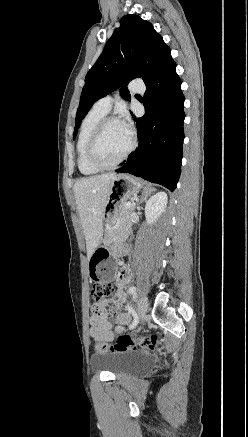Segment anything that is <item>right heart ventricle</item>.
Instances as JSON below:
<instances>
[{
    "label": "right heart ventricle",
    "instance_id": "right-heart-ventricle-1",
    "mask_svg": "<svg viewBox=\"0 0 248 437\" xmlns=\"http://www.w3.org/2000/svg\"><path fill=\"white\" fill-rule=\"evenodd\" d=\"M105 116L106 113L92 108L81 122L76 142V152L78 169L83 175H94L100 171L90 164L87 157V145L96 125Z\"/></svg>",
    "mask_w": 248,
    "mask_h": 437
}]
</instances>
